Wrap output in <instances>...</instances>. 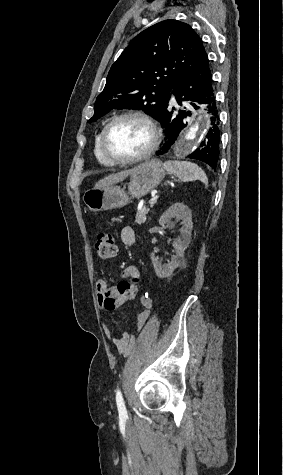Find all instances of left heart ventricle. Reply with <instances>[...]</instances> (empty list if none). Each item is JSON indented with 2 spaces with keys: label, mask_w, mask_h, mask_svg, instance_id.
I'll return each instance as SVG.
<instances>
[{
  "label": "left heart ventricle",
  "mask_w": 283,
  "mask_h": 475,
  "mask_svg": "<svg viewBox=\"0 0 283 475\" xmlns=\"http://www.w3.org/2000/svg\"><path fill=\"white\" fill-rule=\"evenodd\" d=\"M152 132L149 125L138 118L117 121L106 137V150L115 158H130L143 153L149 146Z\"/></svg>",
  "instance_id": "1"
}]
</instances>
